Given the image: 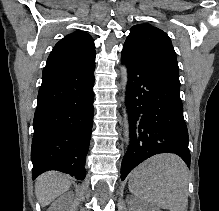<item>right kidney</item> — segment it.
<instances>
[{
    "label": "right kidney",
    "mask_w": 219,
    "mask_h": 211,
    "mask_svg": "<svg viewBox=\"0 0 219 211\" xmlns=\"http://www.w3.org/2000/svg\"><path fill=\"white\" fill-rule=\"evenodd\" d=\"M69 197L68 195H60L53 203H51L48 211H68Z\"/></svg>",
    "instance_id": "ca27d5eb"
}]
</instances>
